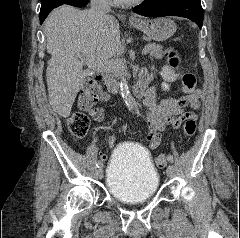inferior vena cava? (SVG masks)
I'll use <instances>...</instances> for the list:
<instances>
[{"label":"inferior vena cava","mask_w":240,"mask_h":238,"mask_svg":"<svg viewBox=\"0 0 240 238\" xmlns=\"http://www.w3.org/2000/svg\"><path fill=\"white\" fill-rule=\"evenodd\" d=\"M89 13L97 18H105L111 11L108 0H91Z\"/></svg>","instance_id":"obj_1"}]
</instances>
